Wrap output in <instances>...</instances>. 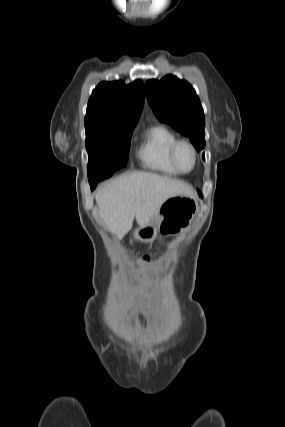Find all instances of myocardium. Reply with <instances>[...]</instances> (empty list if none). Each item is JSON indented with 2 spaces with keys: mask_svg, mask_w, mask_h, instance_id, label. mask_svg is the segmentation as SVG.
Instances as JSON below:
<instances>
[{
  "mask_svg": "<svg viewBox=\"0 0 285 427\" xmlns=\"http://www.w3.org/2000/svg\"><path fill=\"white\" fill-rule=\"evenodd\" d=\"M181 145H187L191 148L192 152H193V156H194V164L193 167L189 170V171H184L180 168L178 162H177V150L179 148V146ZM169 159L170 162L172 164V166L180 173V174H189L191 172L194 171V169L196 168L197 164H198V151L195 147V145L187 139H177L174 141V143L171 145L170 147V151H169Z\"/></svg>",
  "mask_w": 285,
  "mask_h": 427,
  "instance_id": "f54148a6",
  "label": "myocardium"
}]
</instances>
